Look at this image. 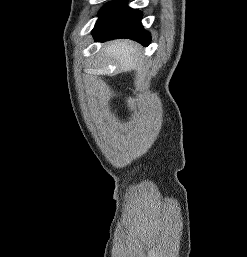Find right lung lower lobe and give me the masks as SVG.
<instances>
[{
    "label": "right lung lower lobe",
    "instance_id": "right-lung-lower-lobe-1",
    "mask_svg": "<svg viewBox=\"0 0 247 257\" xmlns=\"http://www.w3.org/2000/svg\"><path fill=\"white\" fill-rule=\"evenodd\" d=\"M99 19L92 31L96 41L129 38L147 46L150 33L141 24V13L127 6L125 1L106 4L99 12Z\"/></svg>",
    "mask_w": 247,
    "mask_h": 257
}]
</instances>
